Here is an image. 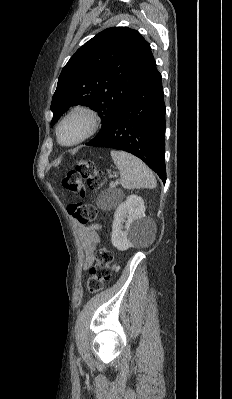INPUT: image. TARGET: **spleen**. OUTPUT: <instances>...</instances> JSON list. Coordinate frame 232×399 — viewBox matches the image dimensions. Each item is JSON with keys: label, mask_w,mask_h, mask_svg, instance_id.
Listing matches in <instances>:
<instances>
[{"label": "spleen", "mask_w": 232, "mask_h": 399, "mask_svg": "<svg viewBox=\"0 0 232 399\" xmlns=\"http://www.w3.org/2000/svg\"><path fill=\"white\" fill-rule=\"evenodd\" d=\"M111 156L115 166L120 170V180L122 188L134 190V188H156L157 182L153 172L139 158H135L127 152H115L112 150Z\"/></svg>", "instance_id": "obj_1"}]
</instances>
